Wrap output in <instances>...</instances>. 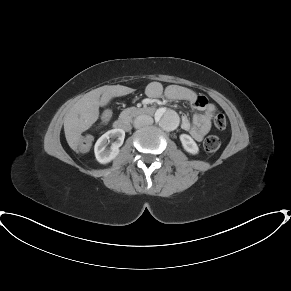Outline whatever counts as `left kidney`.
<instances>
[{
	"label": "left kidney",
	"instance_id": "1",
	"mask_svg": "<svg viewBox=\"0 0 291 291\" xmlns=\"http://www.w3.org/2000/svg\"><path fill=\"white\" fill-rule=\"evenodd\" d=\"M180 141L182 143V146L185 151H187L190 154H197L199 151V148L196 144V142L187 134H181L180 135Z\"/></svg>",
	"mask_w": 291,
	"mask_h": 291
}]
</instances>
